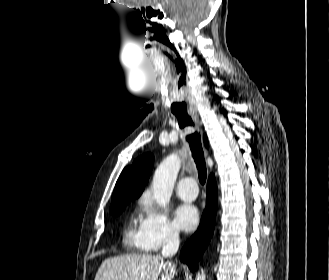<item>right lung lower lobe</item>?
<instances>
[{"label":"right lung lower lobe","instance_id":"1","mask_svg":"<svg viewBox=\"0 0 329 280\" xmlns=\"http://www.w3.org/2000/svg\"><path fill=\"white\" fill-rule=\"evenodd\" d=\"M217 209V186L213 175L207 184V205L203 212L198 231L185 243L180 259L194 272L198 261L209 244L215 227Z\"/></svg>","mask_w":329,"mask_h":280}]
</instances>
